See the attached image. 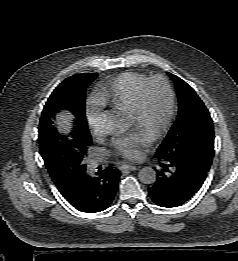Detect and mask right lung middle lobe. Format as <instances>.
<instances>
[{
	"label": "right lung middle lobe",
	"instance_id": "right-lung-middle-lobe-1",
	"mask_svg": "<svg viewBox=\"0 0 238 261\" xmlns=\"http://www.w3.org/2000/svg\"><path fill=\"white\" fill-rule=\"evenodd\" d=\"M97 73H82L60 83L47 100L39 124V150L55 184L67 185L86 171L91 135L85 117V92ZM69 111L80 132L63 135L52 125L55 113Z\"/></svg>",
	"mask_w": 238,
	"mask_h": 261
}]
</instances>
